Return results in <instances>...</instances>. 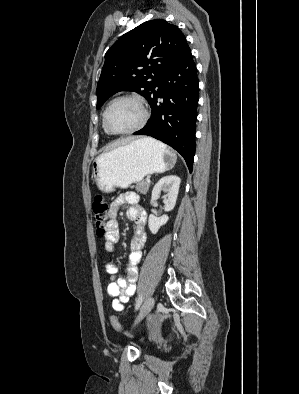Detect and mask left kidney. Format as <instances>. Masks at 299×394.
Here are the masks:
<instances>
[{
	"instance_id": "left-kidney-1",
	"label": "left kidney",
	"mask_w": 299,
	"mask_h": 394,
	"mask_svg": "<svg viewBox=\"0 0 299 394\" xmlns=\"http://www.w3.org/2000/svg\"><path fill=\"white\" fill-rule=\"evenodd\" d=\"M180 183L181 179L176 175L162 177L152 190L151 204L159 198L161 191H164L166 193L163 200L164 209L166 212L173 210L178 197ZM168 220L169 217L167 215L161 217L153 214L149 215L148 226L151 233L156 234L160 227L165 225Z\"/></svg>"
}]
</instances>
